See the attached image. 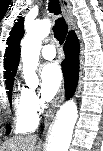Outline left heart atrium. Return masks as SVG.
Returning a JSON list of instances; mask_svg holds the SVG:
<instances>
[{
	"mask_svg": "<svg viewBox=\"0 0 103 151\" xmlns=\"http://www.w3.org/2000/svg\"><path fill=\"white\" fill-rule=\"evenodd\" d=\"M62 84V72L56 63L47 64L41 72V95L44 101L52 100Z\"/></svg>",
	"mask_w": 103,
	"mask_h": 151,
	"instance_id": "left-heart-atrium-1",
	"label": "left heart atrium"
}]
</instances>
